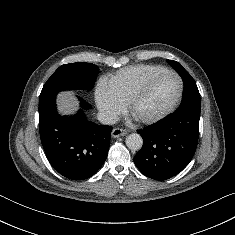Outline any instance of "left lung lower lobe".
<instances>
[{
    "mask_svg": "<svg viewBox=\"0 0 235 235\" xmlns=\"http://www.w3.org/2000/svg\"><path fill=\"white\" fill-rule=\"evenodd\" d=\"M200 109L177 110L137 132L143 147L134 163L147 177L166 180L180 173L193 158L199 136Z\"/></svg>",
    "mask_w": 235,
    "mask_h": 235,
    "instance_id": "obj_1",
    "label": "left lung lower lobe"
}]
</instances>
